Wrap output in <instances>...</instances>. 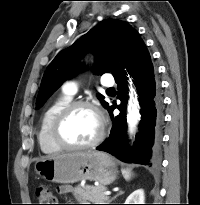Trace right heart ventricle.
Returning <instances> with one entry per match:
<instances>
[{
    "mask_svg": "<svg viewBox=\"0 0 200 205\" xmlns=\"http://www.w3.org/2000/svg\"><path fill=\"white\" fill-rule=\"evenodd\" d=\"M72 100L67 94L55 98L44 110L38 131V142L41 150L47 154L57 153L61 150L53 141L51 129L57 114Z\"/></svg>",
    "mask_w": 200,
    "mask_h": 205,
    "instance_id": "right-heart-ventricle-1",
    "label": "right heart ventricle"
}]
</instances>
